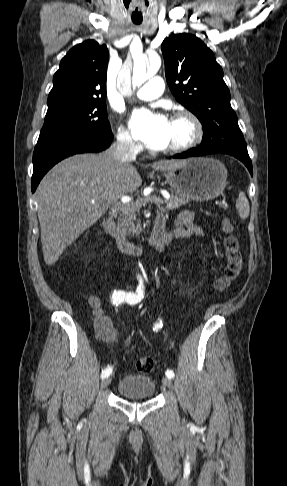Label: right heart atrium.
<instances>
[{
	"instance_id": "1",
	"label": "right heart atrium",
	"mask_w": 287,
	"mask_h": 486,
	"mask_svg": "<svg viewBox=\"0 0 287 486\" xmlns=\"http://www.w3.org/2000/svg\"><path fill=\"white\" fill-rule=\"evenodd\" d=\"M115 136H116L117 143L121 147H123L127 150L138 149V147H139L138 144L135 142V140L133 139L130 132L126 128H124L123 126H121V125L117 126Z\"/></svg>"
}]
</instances>
